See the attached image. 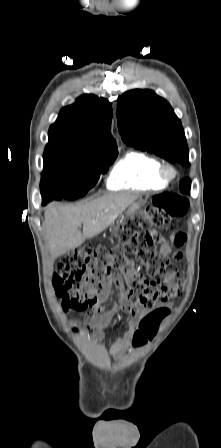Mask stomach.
<instances>
[{
    "label": "stomach",
    "instance_id": "1",
    "mask_svg": "<svg viewBox=\"0 0 221 448\" xmlns=\"http://www.w3.org/2000/svg\"><path fill=\"white\" fill-rule=\"evenodd\" d=\"M139 207H140L139 203L131 205L126 212V215L125 216L122 215L121 220L117 222L116 228H119V226L123 223L124 217H131L135 213V211L139 209Z\"/></svg>",
    "mask_w": 221,
    "mask_h": 448
}]
</instances>
